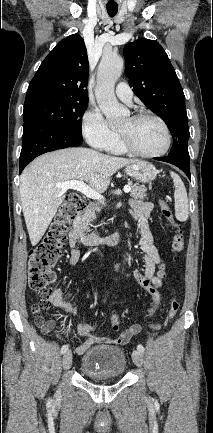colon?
Here are the masks:
<instances>
[{
	"label": "colon",
	"instance_id": "5ec220e1",
	"mask_svg": "<svg viewBox=\"0 0 213 433\" xmlns=\"http://www.w3.org/2000/svg\"><path fill=\"white\" fill-rule=\"evenodd\" d=\"M83 207V198L79 194H70L60 205L42 239L30 250L29 286L31 289L41 293L42 295L40 302L31 307V312L35 322L40 326H43L46 323L45 313L50 308L48 297L52 292V284L55 281L53 269L62 254L70 224ZM159 208L162 217L167 220L173 229L171 237L172 249L175 253H180L184 248V235L182 228L180 224L174 220L173 212L165 200H159ZM159 274L163 277L164 270L162 269ZM179 307V301L177 299H172L164 322L153 325V329H159L170 322L177 314ZM119 321V315L115 314L111 317V325L113 329H118ZM131 336L132 332L126 330L122 333V340H128Z\"/></svg>",
	"mask_w": 213,
	"mask_h": 433
}]
</instances>
